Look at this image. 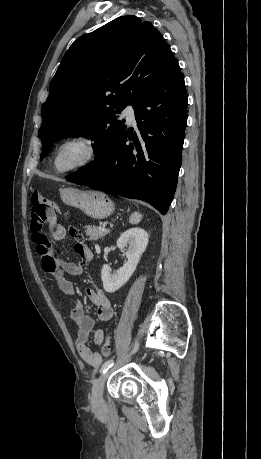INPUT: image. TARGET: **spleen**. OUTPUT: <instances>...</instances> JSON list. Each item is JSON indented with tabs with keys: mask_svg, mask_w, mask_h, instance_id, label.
<instances>
[{
	"mask_svg": "<svg viewBox=\"0 0 261 459\" xmlns=\"http://www.w3.org/2000/svg\"><path fill=\"white\" fill-rule=\"evenodd\" d=\"M142 219V215L138 212H134L131 214L130 218H129V222L131 224H138Z\"/></svg>",
	"mask_w": 261,
	"mask_h": 459,
	"instance_id": "3e777b00",
	"label": "spleen"
}]
</instances>
